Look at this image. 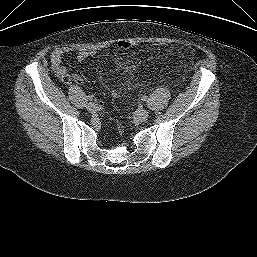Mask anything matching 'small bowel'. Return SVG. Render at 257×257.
<instances>
[{
    "label": "small bowel",
    "instance_id": "1",
    "mask_svg": "<svg viewBox=\"0 0 257 257\" xmlns=\"http://www.w3.org/2000/svg\"><path fill=\"white\" fill-rule=\"evenodd\" d=\"M68 52L69 49L66 48H55L50 56L52 68L58 75H66L68 80H71L75 84H82V76L79 74H72L71 76H68L66 70L61 66L62 57ZM96 55L97 52L95 50H81L76 54V58L78 61H85L87 59L94 58ZM115 65L118 70L128 74H132L136 70V64L126 58H117Z\"/></svg>",
    "mask_w": 257,
    "mask_h": 257
}]
</instances>
